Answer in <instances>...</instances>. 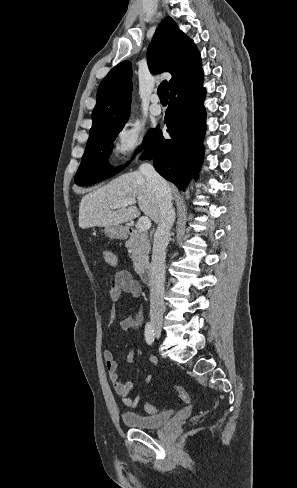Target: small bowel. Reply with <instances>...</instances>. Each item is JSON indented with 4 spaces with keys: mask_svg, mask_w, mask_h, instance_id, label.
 <instances>
[{
    "mask_svg": "<svg viewBox=\"0 0 297 488\" xmlns=\"http://www.w3.org/2000/svg\"><path fill=\"white\" fill-rule=\"evenodd\" d=\"M103 260L109 266H115L117 264V257L114 253L105 251ZM131 294L133 297H140L142 293L141 285L135 281L131 275L126 271L118 272L114 279V288L109 293V299L112 303H116L121 299L122 294ZM143 322L142 308L138 310L135 316H127L120 321V327L125 331H134ZM137 349V343H135L127 355V362L132 363L134 361L135 352ZM103 359L107 369L109 380L113 386L114 391L121 397L124 405L128 407H135L140 400L139 396L134 398L130 397L132 390V382L129 380H122L118 375V364L114 358L112 351L105 350L103 352ZM149 363L152 366H156L158 361L156 357H151ZM145 383H150L152 380L151 375L145 376Z\"/></svg>",
    "mask_w": 297,
    "mask_h": 488,
    "instance_id": "1",
    "label": "small bowel"
}]
</instances>
